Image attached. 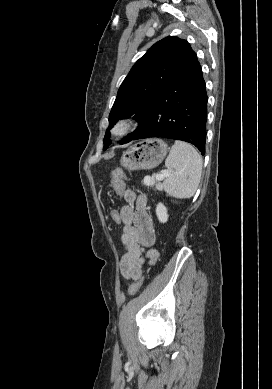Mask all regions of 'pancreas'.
<instances>
[{"label": "pancreas", "instance_id": "pancreas-1", "mask_svg": "<svg viewBox=\"0 0 272 389\" xmlns=\"http://www.w3.org/2000/svg\"><path fill=\"white\" fill-rule=\"evenodd\" d=\"M148 177H149V176H148ZM144 184H145V185H147V186H151V185H153V184H154V180H153V179H151V183H150V184H146V183H145V181H144Z\"/></svg>", "mask_w": 272, "mask_h": 389}]
</instances>
